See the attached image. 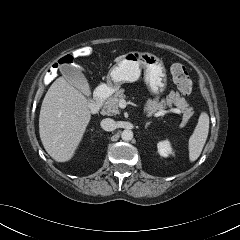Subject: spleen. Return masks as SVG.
Listing matches in <instances>:
<instances>
[{
  "label": "spleen",
  "mask_w": 240,
  "mask_h": 240,
  "mask_svg": "<svg viewBox=\"0 0 240 240\" xmlns=\"http://www.w3.org/2000/svg\"><path fill=\"white\" fill-rule=\"evenodd\" d=\"M209 132V116L202 112L199 116L198 123L189 139V160L194 162L200 156Z\"/></svg>",
  "instance_id": "1"
}]
</instances>
